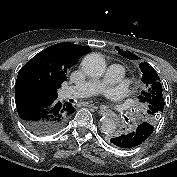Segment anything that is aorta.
Instances as JSON below:
<instances>
[{"mask_svg":"<svg viewBox=\"0 0 177 177\" xmlns=\"http://www.w3.org/2000/svg\"><path fill=\"white\" fill-rule=\"evenodd\" d=\"M82 70L90 77H99L106 70V61L98 53L86 55L81 62ZM116 129V122L110 117H104L101 121V130L105 134H111Z\"/></svg>","mask_w":177,"mask_h":177,"instance_id":"aorta-1","label":"aorta"}]
</instances>
